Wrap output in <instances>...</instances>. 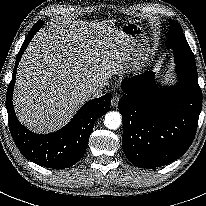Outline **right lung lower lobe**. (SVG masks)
<instances>
[{"label": "right lung lower lobe", "mask_w": 206, "mask_h": 206, "mask_svg": "<svg viewBox=\"0 0 206 206\" xmlns=\"http://www.w3.org/2000/svg\"><path fill=\"white\" fill-rule=\"evenodd\" d=\"M41 26V21L34 25L17 55L6 95L8 123L13 140L23 156L40 166L64 169L73 166L83 157L95 121L110 110L111 94L85 103L65 127L54 133L35 134L20 124L12 102L16 70L25 48Z\"/></svg>", "instance_id": "1"}]
</instances>
